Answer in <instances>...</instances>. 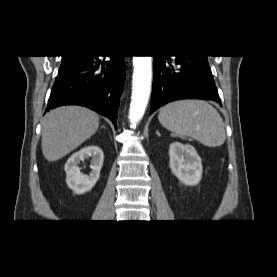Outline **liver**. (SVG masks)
Returning <instances> with one entry per match:
<instances>
[{
  "label": "liver",
  "instance_id": "obj_1",
  "mask_svg": "<svg viewBox=\"0 0 277 277\" xmlns=\"http://www.w3.org/2000/svg\"><path fill=\"white\" fill-rule=\"evenodd\" d=\"M99 117L81 106H63L50 111L42 121V152L46 160L56 161L94 135Z\"/></svg>",
  "mask_w": 277,
  "mask_h": 277
}]
</instances>
